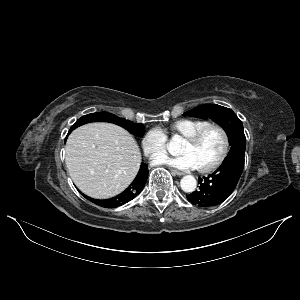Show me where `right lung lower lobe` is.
<instances>
[{
	"instance_id": "obj_1",
	"label": "right lung lower lobe",
	"mask_w": 300,
	"mask_h": 300,
	"mask_svg": "<svg viewBox=\"0 0 300 300\" xmlns=\"http://www.w3.org/2000/svg\"><path fill=\"white\" fill-rule=\"evenodd\" d=\"M148 167L146 164L142 163L140 170L134 179V181L131 183V185L124 190L121 194L110 198L106 200H97L90 198L86 195H83L86 199L90 200L91 202L106 208H114L121 205H124L125 203L129 202L130 200L134 199L144 188L147 177H148Z\"/></svg>"
}]
</instances>
